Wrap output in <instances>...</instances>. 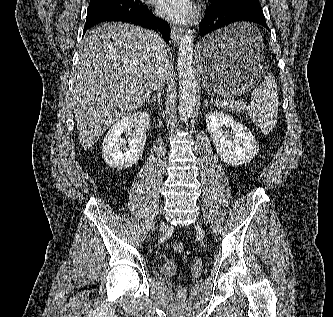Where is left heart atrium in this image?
Listing matches in <instances>:
<instances>
[{"label":"left heart atrium","instance_id":"1","mask_svg":"<svg viewBox=\"0 0 333 317\" xmlns=\"http://www.w3.org/2000/svg\"><path fill=\"white\" fill-rule=\"evenodd\" d=\"M157 12L167 19L184 21L193 15V6L191 0H159Z\"/></svg>","mask_w":333,"mask_h":317}]
</instances>
